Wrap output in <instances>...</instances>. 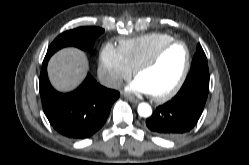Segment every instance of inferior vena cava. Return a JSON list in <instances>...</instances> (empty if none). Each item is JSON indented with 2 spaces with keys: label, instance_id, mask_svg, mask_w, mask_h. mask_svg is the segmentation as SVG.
<instances>
[{
  "label": "inferior vena cava",
  "instance_id": "obj_1",
  "mask_svg": "<svg viewBox=\"0 0 249 165\" xmlns=\"http://www.w3.org/2000/svg\"><path fill=\"white\" fill-rule=\"evenodd\" d=\"M101 83L108 87V88H113V89H117L119 87H121L122 85V80L118 79V78H114V77H107L104 78Z\"/></svg>",
  "mask_w": 249,
  "mask_h": 165
}]
</instances>
